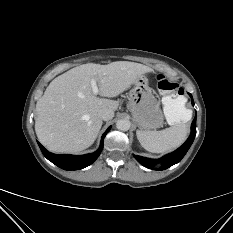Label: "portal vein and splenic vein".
<instances>
[{
  "label": "portal vein and splenic vein",
  "instance_id": "obj_1",
  "mask_svg": "<svg viewBox=\"0 0 233 233\" xmlns=\"http://www.w3.org/2000/svg\"><path fill=\"white\" fill-rule=\"evenodd\" d=\"M91 88L93 94L97 95L99 93V89L95 80H91Z\"/></svg>",
  "mask_w": 233,
  "mask_h": 233
}]
</instances>
